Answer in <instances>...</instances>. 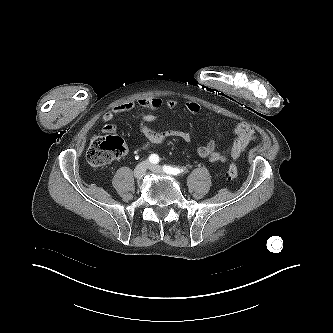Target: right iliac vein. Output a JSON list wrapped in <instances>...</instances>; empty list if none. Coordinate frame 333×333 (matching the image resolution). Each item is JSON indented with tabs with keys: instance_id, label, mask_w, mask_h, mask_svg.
I'll list each match as a JSON object with an SVG mask.
<instances>
[{
	"instance_id": "1",
	"label": "right iliac vein",
	"mask_w": 333,
	"mask_h": 333,
	"mask_svg": "<svg viewBox=\"0 0 333 333\" xmlns=\"http://www.w3.org/2000/svg\"><path fill=\"white\" fill-rule=\"evenodd\" d=\"M148 161H143L139 163L136 168L134 169V177L138 180L142 179V177L145 175L147 168L149 167Z\"/></svg>"
}]
</instances>
